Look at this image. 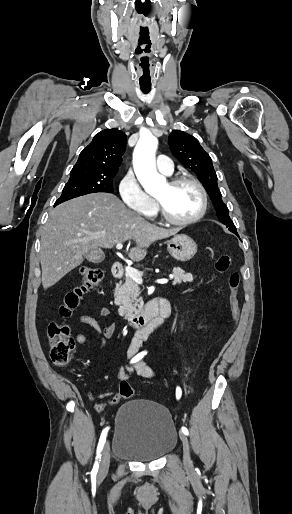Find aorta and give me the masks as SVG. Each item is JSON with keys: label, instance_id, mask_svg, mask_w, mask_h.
<instances>
[{"label": "aorta", "instance_id": "aorta-1", "mask_svg": "<svg viewBox=\"0 0 292 514\" xmlns=\"http://www.w3.org/2000/svg\"><path fill=\"white\" fill-rule=\"evenodd\" d=\"M157 138L152 134H143L134 150V172L142 184L145 192L154 196L160 186H165L164 176H160L155 168V152L157 150Z\"/></svg>", "mask_w": 292, "mask_h": 514}]
</instances>
